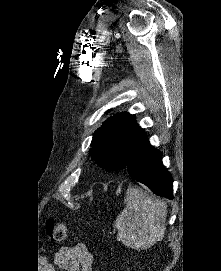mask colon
Listing matches in <instances>:
<instances>
[{"label": "colon", "instance_id": "obj_1", "mask_svg": "<svg viewBox=\"0 0 221 271\" xmlns=\"http://www.w3.org/2000/svg\"><path fill=\"white\" fill-rule=\"evenodd\" d=\"M46 228L50 232L54 242H63L67 238V225L64 221L49 218L46 222Z\"/></svg>", "mask_w": 221, "mask_h": 271}]
</instances>
